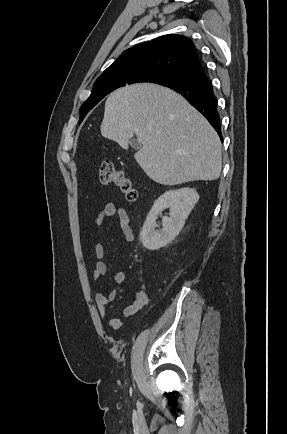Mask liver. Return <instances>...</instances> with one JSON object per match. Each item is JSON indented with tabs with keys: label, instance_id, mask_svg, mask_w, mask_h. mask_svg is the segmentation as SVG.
I'll list each match as a JSON object with an SVG mask.
<instances>
[{
	"label": "liver",
	"instance_id": "1",
	"mask_svg": "<svg viewBox=\"0 0 287 434\" xmlns=\"http://www.w3.org/2000/svg\"><path fill=\"white\" fill-rule=\"evenodd\" d=\"M101 134L123 148L135 134L142 147L134 158L159 184L212 181L220 176L222 145L218 134L171 89L136 84L112 92L105 103Z\"/></svg>",
	"mask_w": 287,
	"mask_h": 434
}]
</instances>
